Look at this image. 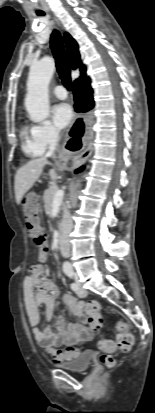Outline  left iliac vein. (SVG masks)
Here are the masks:
<instances>
[{"instance_id":"4c4485c4","label":"left iliac vein","mask_w":155,"mask_h":413,"mask_svg":"<svg viewBox=\"0 0 155 413\" xmlns=\"http://www.w3.org/2000/svg\"><path fill=\"white\" fill-rule=\"evenodd\" d=\"M78 285V289L76 291V294L80 297V298H84L87 296V291L81 286V284L79 282H77Z\"/></svg>"}]
</instances>
